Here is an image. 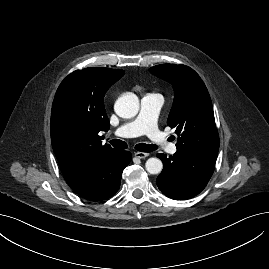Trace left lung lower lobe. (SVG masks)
<instances>
[{"mask_svg":"<svg viewBox=\"0 0 269 269\" xmlns=\"http://www.w3.org/2000/svg\"><path fill=\"white\" fill-rule=\"evenodd\" d=\"M217 153V150L177 148L176 153L169 158L164 154H157L164 165L156 180L159 190L175 200L196 196L205 188L214 172Z\"/></svg>","mask_w":269,"mask_h":269,"instance_id":"0a47b994","label":"left lung lower lobe"}]
</instances>
